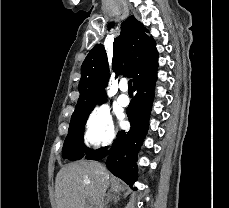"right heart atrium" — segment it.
<instances>
[{"label":"right heart atrium","instance_id":"obj_1","mask_svg":"<svg viewBox=\"0 0 229 208\" xmlns=\"http://www.w3.org/2000/svg\"><path fill=\"white\" fill-rule=\"evenodd\" d=\"M115 138L111 115L104 107H95L84 124V142L92 148L109 146Z\"/></svg>","mask_w":229,"mask_h":208}]
</instances>
